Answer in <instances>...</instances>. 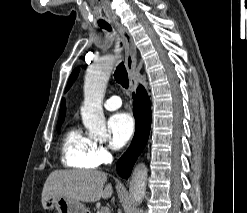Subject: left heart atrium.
Here are the masks:
<instances>
[{
    "mask_svg": "<svg viewBox=\"0 0 247 213\" xmlns=\"http://www.w3.org/2000/svg\"><path fill=\"white\" fill-rule=\"evenodd\" d=\"M111 134L110 144L113 148H122L132 137L135 124L132 116L126 112L112 115L108 121Z\"/></svg>",
    "mask_w": 247,
    "mask_h": 213,
    "instance_id": "left-heart-atrium-1",
    "label": "left heart atrium"
}]
</instances>
